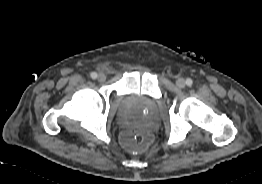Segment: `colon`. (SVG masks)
<instances>
[{"label":"colon","mask_w":262,"mask_h":184,"mask_svg":"<svg viewBox=\"0 0 262 184\" xmlns=\"http://www.w3.org/2000/svg\"><path fill=\"white\" fill-rule=\"evenodd\" d=\"M150 137L144 132H129L122 137L123 146L130 151H141L148 146Z\"/></svg>","instance_id":"colon-1"}]
</instances>
